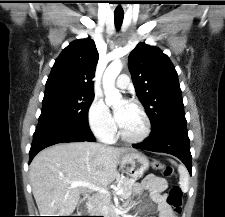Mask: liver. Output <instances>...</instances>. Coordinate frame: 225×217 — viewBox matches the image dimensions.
<instances>
[{
    "label": "liver",
    "instance_id": "1",
    "mask_svg": "<svg viewBox=\"0 0 225 217\" xmlns=\"http://www.w3.org/2000/svg\"><path fill=\"white\" fill-rule=\"evenodd\" d=\"M131 148H114L92 142L59 143L39 152L32 160L29 176L33 196L41 216H69L85 186L71 182H88L106 187L117 177L122 155Z\"/></svg>",
    "mask_w": 225,
    "mask_h": 217
}]
</instances>
